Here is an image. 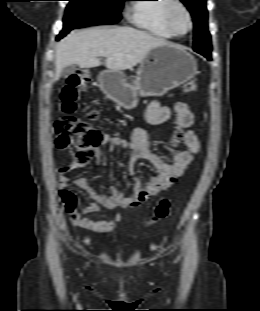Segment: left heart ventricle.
I'll return each instance as SVG.
<instances>
[{
	"mask_svg": "<svg viewBox=\"0 0 260 311\" xmlns=\"http://www.w3.org/2000/svg\"><path fill=\"white\" fill-rule=\"evenodd\" d=\"M173 25L176 31L184 33L188 29V21L186 15L181 10H176L173 14Z\"/></svg>",
	"mask_w": 260,
	"mask_h": 311,
	"instance_id": "obj_1",
	"label": "left heart ventricle"
}]
</instances>
